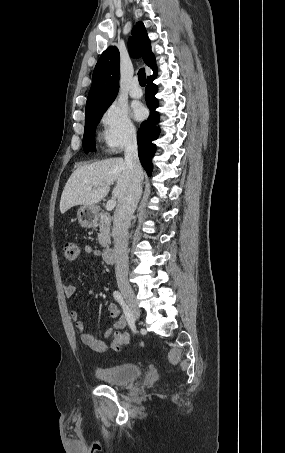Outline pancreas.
Masks as SVG:
<instances>
[{
  "instance_id": "obj_1",
  "label": "pancreas",
  "mask_w": 285,
  "mask_h": 453,
  "mask_svg": "<svg viewBox=\"0 0 285 453\" xmlns=\"http://www.w3.org/2000/svg\"><path fill=\"white\" fill-rule=\"evenodd\" d=\"M99 228L98 241L102 247H106L110 243V226L111 217L108 213L101 212L99 214Z\"/></svg>"
}]
</instances>
